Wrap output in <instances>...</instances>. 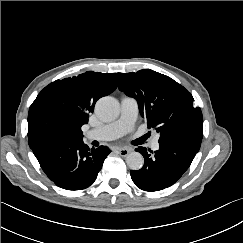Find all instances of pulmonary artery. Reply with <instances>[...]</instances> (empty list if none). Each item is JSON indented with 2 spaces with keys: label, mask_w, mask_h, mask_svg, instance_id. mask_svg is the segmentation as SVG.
Returning <instances> with one entry per match:
<instances>
[{
  "label": "pulmonary artery",
  "mask_w": 243,
  "mask_h": 243,
  "mask_svg": "<svg viewBox=\"0 0 243 243\" xmlns=\"http://www.w3.org/2000/svg\"><path fill=\"white\" fill-rule=\"evenodd\" d=\"M138 115V102L132 97L124 96L121 98V114L116 121L105 124L99 128L87 131L84 136L87 140L106 141L116 139L129 132L136 121ZM159 138L153 136L150 139L152 150L159 149Z\"/></svg>",
  "instance_id": "pulmonary-artery-1"
}]
</instances>
